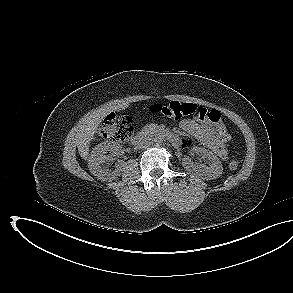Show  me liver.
Returning <instances> with one entry per match:
<instances>
[{
  "mask_svg": "<svg viewBox=\"0 0 293 293\" xmlns=\"http://www.w3.org/2000/svg\"><path fill=\"white\" fill-rule=\"evenodd\" d=\"M128 106L129 103H123L114 107L100 108L95 110L89 116H85L81 120L75 138L78 152L83 159L86 160L89 157L90 141L92 140L103 118L112 111L123 110Z\"/></svg>",
  "mask_w": 293,
  "mask_h": 293,
  "instance_id": "liver-1",
  "label": "liver"
}]
</instances>
